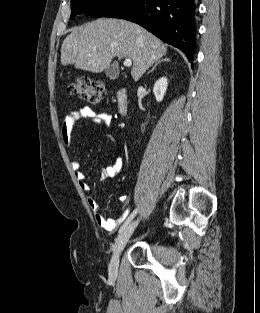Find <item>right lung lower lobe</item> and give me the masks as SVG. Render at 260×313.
<instances>
[{"label": "right lung lower lobe", "instance_id": "98d812e1", "mask_svg": "<svg viewBox=\"0 0 260 313\" xmlns=\"http://www.w3.org/2000/svg\"><path fill=\"white\" fill-rule=\"evenodd\" d=\"M194 0H124L104 17L126 19L181 49L190 62L195 52Z\"/></svg>", "mask_w": 260, "mask_h": 313}]
</instances>
